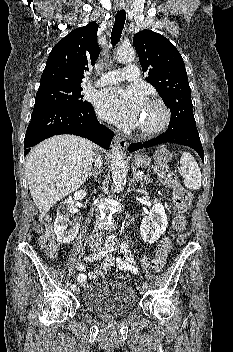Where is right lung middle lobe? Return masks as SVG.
<instances>
[{"instance_id":"dd1d6c3e","label":"right lung middle lobe","mask_w":233,"mask_h":352,"mask_svg":"<svg viewBox=\"0 0 233 352\" xmlns=\"http://www.w3.org/2000/svg\"><path fill=\"white\" fill-rule=\"evenodd\" d=\"M81 85L52 84L39 87L33 111L46 108H74L90 104L83 100Z\"/></svg>"}]
</instances>
